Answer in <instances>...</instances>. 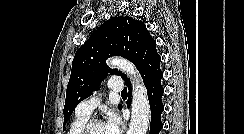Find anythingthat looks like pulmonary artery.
I'll list each match as a JSON object with an SVG mask.
<instances>
[{
    "instance_id": "pulmonary-artery-1",
    "label": "pulmonary artery",
    "mask_w": 244,
    "mask_h": 134,
    "mask_svg": "<svg viewBox=\"0 0 244 134\" xmlns=\"http://www.w3.org/2000/svg\"><path fill=\"white\" fill-rule=\"evenodd\" d=\"M124 88L123 82L120 79H112L109 81V89L112 92H122ZM99 104V98L91 96L83 100L76 108V114L90 116L94 108Z\"/></svg>"
}]
</instances>
